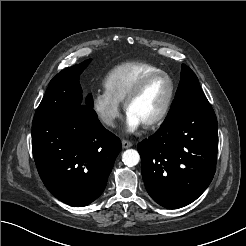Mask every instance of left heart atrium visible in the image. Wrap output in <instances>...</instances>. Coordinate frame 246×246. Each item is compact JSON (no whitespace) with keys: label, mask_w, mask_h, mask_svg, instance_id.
<instances>
[{"label":"left heart atrium","mask_w":246,"mask_h":246,"mask_svg":"<svg viewBox=\"0 0 246 246\" xmlns=\"http://www.w3.org/2000/svg\"><path fill=\"white\" fill-rule=\"evenodd\" d=\"M141 125H142L141 122L136 117H134L130 113H127V116H126V126H127L128 131L134 132Z\"/></svg>","instance_id":"left-heart-atrium-1"}]
</instances>
